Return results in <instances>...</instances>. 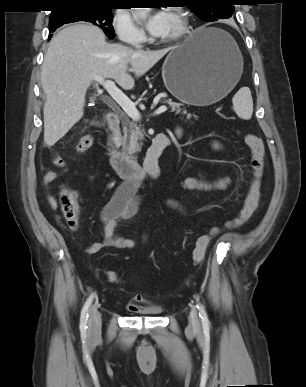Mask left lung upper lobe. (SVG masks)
I'll list each match as a JSON object with an SVG mask.
<instances>
[{"label":"left lung upper lobe","mask_w":306,"mask_h":387,"mask_svg":"<svg viewBox=\"0 0 306 387\" xmlns=\"http://www.w3.org/2000/svg\"><path fill=\"white\" fill-rule=\"evenodd\" d=\"M233 0H187V6L201 19L213 22L230 18L234 13Z\"/></svg>","instance_id":"5c2ea615"}]
</instances>
